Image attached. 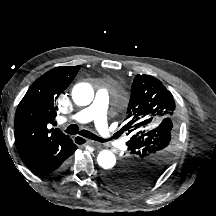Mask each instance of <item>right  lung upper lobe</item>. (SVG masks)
Instances as JSON below:
<instances>
[{
  "label": "right lung upper lobe",
  "mask_w": 216,
  "mask_h": 216,
  "mask_svg": "<svg viewBox=\"0 0 216 216\" xmlns=\"http://www.w3.org/2000/svg\"><path fill=\"white\" fill-rule=\"evenodd\" d=\"M79 68L60 66L46 72L30 86L17 107L15 141L30 170L75 146L69 136L48 127L55 123L56 99L75 78Z\"/></svg>",
  "instance_id": "1"
}]
</instances>
